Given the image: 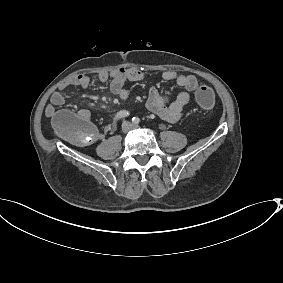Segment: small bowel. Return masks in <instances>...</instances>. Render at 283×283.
<instances>
[{"label": "small bowel", "mask_w": 283, "mask_h": 283, "mask_svg": "<svg viewBox=\"0 0 283 283\" xmlns=\"http://www.w3.org/2000/svg\"><path fill=\"white\" fill-rule=\"evenodd\" d=\"M162 78L165 81L175 82L183 90L171 101L168 96L163 95L155 86H152L149 91L146 107L161 119L175 123L183 116L184 108L190 101L191 93L198 88V81L193 75L181 74L172 70L164 72ZM144 79L145 75L143 72L136 68H120L110 73L102 72L98 75V80L101 83L111 80L110 90L121 100H126L129 96V92L125 87L127 81L138 82ZM89 85L90 78L86 74H76L64 80L60 84L59 90L51 95L50 104L45 109L46 116L49 118L55 117L57 108L65 103L63 92L67 88L71 86L86 88ZM78 115L88 119L90 113L88 110L83 109L78 112Z\"/></svg>", "instance_id": "c3829d8e"}]
</instances>
